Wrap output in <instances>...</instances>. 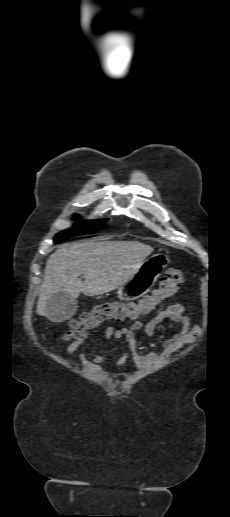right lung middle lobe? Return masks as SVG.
I'll return each instance as SVG.
<instances>
[{
  "mask_svg": "<svg viewBox=\"0 0 230 517\" xmlns=\"http://www.w3.org/2000/svg\"><path fill=\"white\" fill-rule=\"evenodd\" d=\"M107 220L108 219L86 221L82 224L76 225L74 228L64 230L56 234L54 241H63L69 237L93 233L94 231H97Z\"/></svg>",
  "mask_w": 230,
  "mask_h": 517,
  "instance_id": "1",
  "label": "right lung middle lobe"
}]
</instances>
